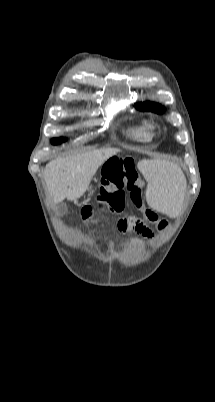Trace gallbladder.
<instances>
[{"label": "gallbladder", "mask_w": 215, "mask_h": 402, "mask_svg": "<svg viewBox=\"0 0 215 402\" xmlns=\"http://www.w3.org/2000/svg\"><path fill=\"white\" fill-rule=\"evenodd\" d=\"M66 210H67V207L64 204L60 205L61 212H65Z\"/></svg>", "instance_id": "obj_1"}]
</instances>
